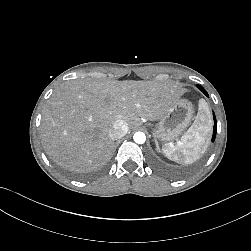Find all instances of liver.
Here are the masks:
<instances>
[{
    "label": "liver",
    "instance_id": "obj_1",
    "mask_svg": "<svg viewBox=\"0 0 251 251\" xmlns=\"http://www.w3.org/2000/svg\"><path fill=\"white\" fill-rule=\"evenodd\" d=\"M154 94L155 89L147 93L127 85L121 88L75 85L53 108L50 122L53 136L60 145L73 151L101 147L109 139L122 136L154 119L157 108ZM116 122L121 123L124 131L118 136H111L109 131ZM182 129L184 126L180 124L172 132L178 133Z\"/></svg>",
    "mask_w": 251,
    "mask_h": 251
}]
</instances>
